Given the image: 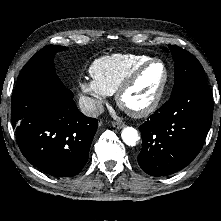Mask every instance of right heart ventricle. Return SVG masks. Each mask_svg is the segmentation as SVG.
Masks as SVG:
<instances>
[{
    "label": "right heart ventricle",
    "instance_id": "obj_1",
    "mask_svg": "<svg viewBox=\"0 0 221 221\" xmlns=\"http://www.w3.org/2000/svg\"><path fill=\"white\" fill-rule=\"evenodd\" d=\"M149 59L151 57L137 54L107 55L96 59L91 64L89 73L102 91L112 95L136 67Z\"/></svg>",
    "mask_w": 221,
    "mask_h": 221
}]
</instances>
